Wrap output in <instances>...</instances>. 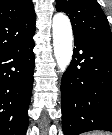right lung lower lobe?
<instances>
[{
    "mask_svg": "<svg viewBox=\"0 0 112 135\" xmlns=\"http://www.w3.org/2000/svg\"><path fill=\"white\" fill-rule=\"evenodd\" d=\"M33 35L0 54V135H25L34 74Z\"/></svg>",
    "mask_w": 112,
    "mask_h": 135,
    "instance_id": "right-lung-lower-lobe-1",
    "label": "right lung lower lobe"
}]
</instances>
